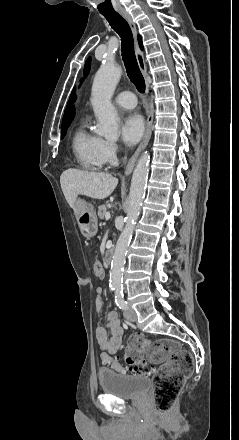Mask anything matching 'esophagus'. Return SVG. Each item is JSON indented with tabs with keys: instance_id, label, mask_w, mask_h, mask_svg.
Masks as SVG:
<instances>
[{
	"instance_id": "obj_1",
	"label": "esophagus",
	"mask_w": 239,
	"mask_h": 440,
	"mask_svg": "<svg viewBox=\"0 0 239 440\" xmlns=\"http://www.w3.org/2000/svg\"><path fill=\"white\" fill-rule=\"evenodd\" d=\"M120 15L129 23L130 28L133 32V35L135 37V53H136V58H137V62L139 65V68L141 70V72L143 73V75H147V68H146V64H145V59L143 56V52L140 50L139 45L137 43V29H136V25L134 23V21L132 20L131 15L124 11H119ZM149 91V89H148ZM153 118H154V112L153 109H151L148 117H147V121H146V131L145 134L143 136V139L141 141V143L139 144V146L137 147V150L134 152V154L132 155V157L130 158V160L128 161L126 168H125V175H130V173H132V170L134 168V165L139 157V154L142 152V150H144V148L148 145V142L150 140V137L152 135V122H153Z\"/></svg>"
}]
</instances>
